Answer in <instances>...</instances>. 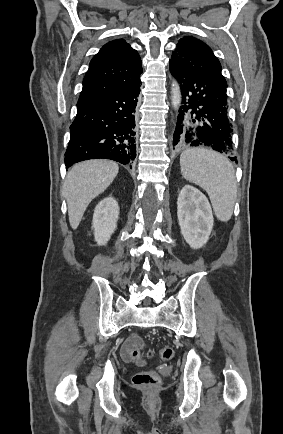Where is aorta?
<instances>
[{"label": "aorta", "mask_w": 283, "mask_h": 434, "mask_svg": "<svg viewBox=\"0 0 283 434\" xmlns=\"http://www.w3.org/2000/svg\"><path fill=\"white\" fill-rule=\"evenodd\" d=\"M171 103L174 109H178L181 104V90L176 80L172 81L171 86Z\"/></svg>", "instance_id": "obj_1"}]
</instances>
